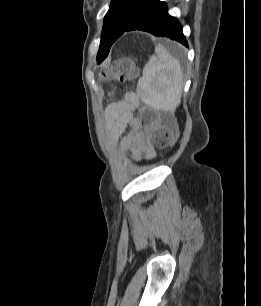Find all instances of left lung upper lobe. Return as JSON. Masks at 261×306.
<instances>
[{
    "instance_id": "1",
    "label": "left lung upper lobe",
    "mask_w": 261,
    "mask_h": 306,
    "mask_svg": "<svg viewBox=\"0 0 261 306\" xmlns=\"http://www.w3.org/2000/svg\"><path fill=\"white\" fill-rule=\"evenodd\" d=\"M146 0H112L104 18V25L97 62L101 63L108 55L110 47L121 36L132 18Z\"/></svg>"
}]
</instances>
